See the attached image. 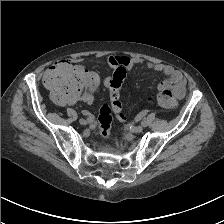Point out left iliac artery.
Here are the masks:
<instances>
[{"label":"left iliac artery","instance_id":"obj_1","mask_svg":"<svg viewBox=\"0 0 224 224\" xmlns=\"http://www.w3.org/2000/svg\"><path fill=\"white\" fill-rule=\"evenodd\" d=\"M141 125H142L143 127H146V126H147V122H146V121H142V122H141Z\"/></svg>","mask_w":224,"mask_h":224}]
</instances>
